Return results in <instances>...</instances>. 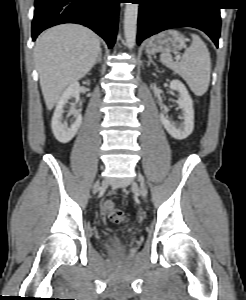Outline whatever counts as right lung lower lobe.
<instances>
[{
    "instance_id": "98d812e1",
    "label": "right lung lower lobe",
    "mask_w": 246,
    "mask_h": 300,
    "mask_svg": "<svg viewBox=\"0 0 246 300\" xmlns=\"http://www.w3.org/2000/svg\"><path fill=\"white\" fill-rule=\"evenodd\" d=\"M121 0H35L33 40L45 29L62 23H78L100 35L112 48Z\"/></svg>"
}]
</instances>
